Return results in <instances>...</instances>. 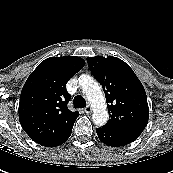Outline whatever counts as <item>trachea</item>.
Returning a JSON list of instances; mask_svg holds the SVG:
<instances>
[{"instance_id": "3493384b", "label": "trachea", "mask_w": 173, "mask_h": 173, "mask_svg": "<svg viewBox=\"0 0 173 173\" xmlns=\"http://www.w3.org/2000/svg\"><path fill=\"white\" fill-rule=\"evenodd\" d=\"M73 105L75 108H84L86 107V101L82 96H76L73 100Z\"/></svg>"}]
</instances>
